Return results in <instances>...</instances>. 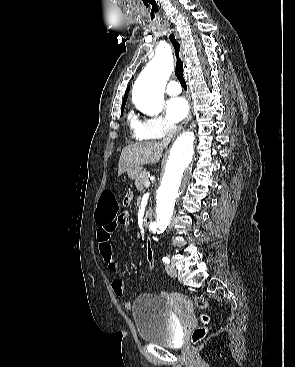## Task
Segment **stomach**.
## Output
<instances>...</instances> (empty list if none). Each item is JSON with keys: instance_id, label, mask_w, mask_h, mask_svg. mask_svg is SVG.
<instances>
[{"instance_id": "stomach-1", "label": "stomach", "mask_w": 295, "mask_h": 367, "mask_svg": "<svg viewBox=\"0 0 295 367\" xmlns=\"http://www.w3.org/2000/svg\"><path fill=\"white\" fill-rule=\"evenodd\" d=\"M129 178L137 180L142 174V167H135L127 171Z\"/></svg>"}]
</instances>
